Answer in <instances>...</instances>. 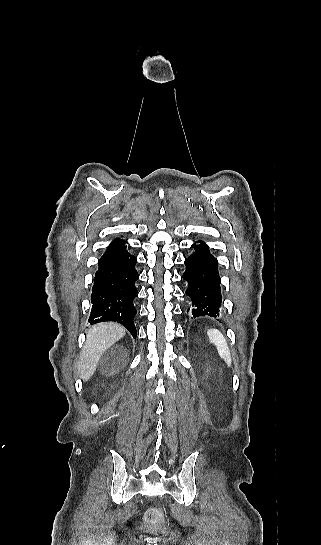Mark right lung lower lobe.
<instances>
[{
    "label": "right lung lower lobe",
    "instance_id": "98d812e1",
    "mask_svg": "<svg viewBox=\"0 0 321 545\" xmlns=\"http://www.w3.org/2000/svg\"><path fill=\"white\" fill-rule=\"evenodd\" d=\"M125 241L114 239L99 260L91 295L89 323L114 321L125 326L134 338L137 332L133 322L136 308L133 304L138 295L135 281L139 275L135 269L137 258L125 249Z\"/></svg>",
    "mask_w": 321,
    "mask_h": 545
}]
</instances>
